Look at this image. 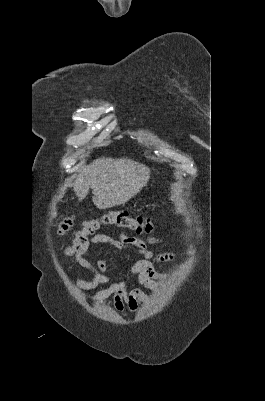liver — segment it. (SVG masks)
<instances>
[{"label": "liver", "mask_w": 265, "mask_h": 401, "mask_svg": "<svg viewBox=\"0 0 265 401\" xmlns=\"http://www.w3.org/2000/svg\"><path fill=\"white\" fill-rule=\"evenodd\" d=\"M74 180L78 201H83L92 188V201L97 209L125 205L148 182L150 168L130 158H96L78 170Z\"/></svg>", "instance_id": "obj_1"}]
</instances>
